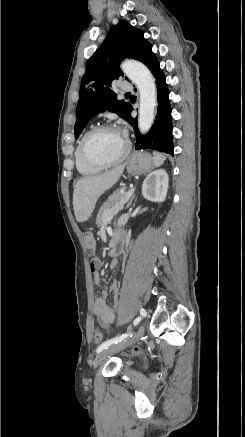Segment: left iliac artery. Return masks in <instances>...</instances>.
I'll use <instances>...</instances> for the list:
<instances>
[{
    "label": "left iliac artery",
    "instance_id": "1",
    "mask_svg": "<svg viewBox=\"0 0 245 437\" xmlns=\"http://www.w3.org/2000/svg\"><path fill=\"white\" fill-rule=\"evenodd\" d=\"M140 314H141L143 317H145V316L147 315V312H146L145 309H141V310H140ZM139 321H140V318H137V319L135 320V323H137V322H139ZM127 337H132V333H131V332H129V333H125V334H122V335H120V336L114 337V338H112V339H110V340H107V341L103 342V343H102V344L97 348L96 352H97V353H101L104 349H107L110 345H112V344H117L118 342L124 341Z\"/></svg>",
    "mask_w": 245,
    "mask_h": 437
}]
</instances>
